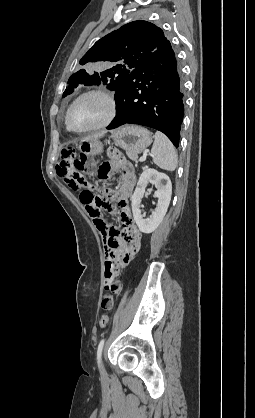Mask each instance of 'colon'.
<instances>
[{
  "label": "colon",
  "instance_id": "colon-1",
  "mask_svg": "<svg viewBox=\"0 0 255 418\" xmlns=\"http://www.w3.org/2000/svg\"><path fill=\"white\" fill-rule=\"evenodd\" d=\"M96 166L84 156H78L75 149L64 147L61 150L60 160L57 165V173L64 178L66 184L74 189L81 190L80 201L84 204L93 221L97 223L98 228L105 231L107 224L101 217V208L106 209L107 214L113 213V208L109 207L105 199L98 195L89 186L88 177L93 175ZM124 228H136L132 223ZM109 318L102 314L99 319V325L104 328L107 326Z\"/></svg>",
  "mask_w": 255,
  "mask_h": 418
}]
</instances>
